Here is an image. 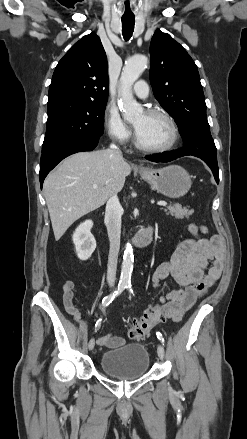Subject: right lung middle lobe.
Masks as SVG:
<instances>
[{"label":"right lung middle lobe","instance_id":"right-lung-middle-lobe-1","mask_svg":"<svg viewBox=\"0 0 247 439\" xmlns=\"http://www.w3.org/2000/svg\"><path fill=\"white\" fill-rule=\"evenodd\" d=\"M106 102L65 100L48 105V119L42 151L103 134Z\"/></svg>","mask_w":247,"mask_h":439}]
</instances>
